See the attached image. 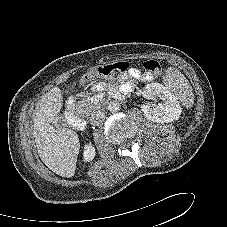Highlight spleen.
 I'll use <instances>...</instances> for the list:
<instances>
[{"mask_svg": "<svg viewBox=\"0 0 227 227\" xmlns=\"http://www.w3.org/2000/svg\"><path fill=\"white\" fill-rule=\"evenodd\" d=\"M165 85L167 90H169L184 106H192L194 100L192 87L183 74L169 68L167 70Z\"/></svg>", "mask_w": 227, "mask_h": 227, "instance_id": "obj_1", "label": "spleen"}]
</instances>
